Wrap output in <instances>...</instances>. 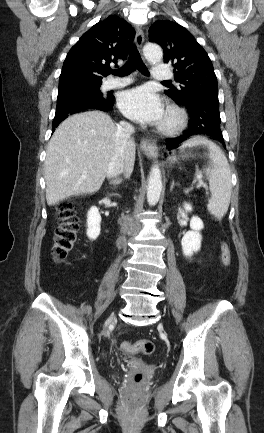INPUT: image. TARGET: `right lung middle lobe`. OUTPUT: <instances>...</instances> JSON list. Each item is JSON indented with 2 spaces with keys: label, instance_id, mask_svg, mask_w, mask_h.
<instances>
[{
  "label": "right lung middle lobe",
  "instance_id": "dd1d6c3e",
  "mask_svg": "<svg viewBox=\"0 0 264 433\" xmlns=\"http://www.w3.org/2000/svg\"><path fill=\"white\" fill-rule=\"evenodd\" d=\"M100 85L101 84H94V85H74L69 88H65L58 91V98H57V110L60 108V104L62 101L67 100L70 95H73L74 93H88V94H94V95H100L103 94L100 91Z\"/></svg>",
  "mask_w": 264,
  "mask_h": 433
}]
</instances>
